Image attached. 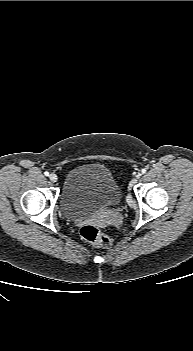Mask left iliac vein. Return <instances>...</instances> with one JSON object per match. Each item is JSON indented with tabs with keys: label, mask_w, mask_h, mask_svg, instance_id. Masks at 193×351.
<instances>
[{
	"label": "left iliac vein",
	"mask_w": 193,
	"mask_h": 351,
	"mask_svg": "<svg viewBox=\"0 0 193 351\" xmlns=\"http://www.w3.org/2000/svg\"><path fill=\"white\" fill-rule=\"evenodd\" d=\"M141 177V174L140 173H137L135 178L138 180L139 178Z\"/></svg>",
	"instance_id": "1"
}]
</instances>
